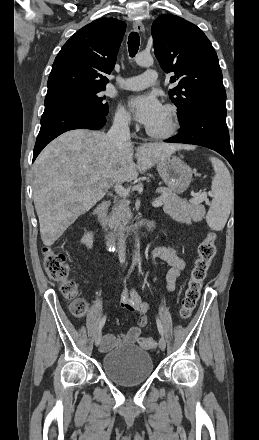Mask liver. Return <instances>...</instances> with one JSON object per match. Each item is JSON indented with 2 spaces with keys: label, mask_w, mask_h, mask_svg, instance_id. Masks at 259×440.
<instances>
[{
  "label": "liver",
  "mask_w": 259,
  "mask_h": 440,
  "mask_svg": "<svg viewBox=\"0 0 259 440\" xmlns=\"http://www.w3.org/2000/svg\"><path fill=\"white\" fill-rule=\"evenodd\" d=\"M183 148L192 149L147 143L135 148L134 154L131 143L118 147L106 134L88 129L71 130L54 139L33 167V199L44 245H53L114 184L135 180L139 173Z\"/></svg>",
  "instance_id": "6515ba94"
}]
</instances>
